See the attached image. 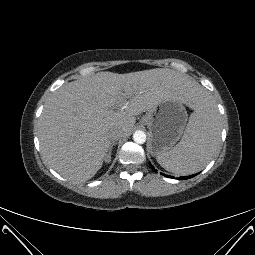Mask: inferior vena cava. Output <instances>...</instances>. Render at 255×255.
<instances>
[{
    "instance_id": "1",
    "label": "inferior vena cava",
    "mask_w": 255,
    "mask_h": 255,
    "mask_svg": "<svg viewBox=\"0 0 255 255\" xmlns=\"http://www.w3.org/2000/svg\"><path fill=\"white\" fill-rule=\"evenodd\" d=\"M123 137V132L121 130H111L108 138L111 142H115Z\"/></svg>"
}]
</instances>
